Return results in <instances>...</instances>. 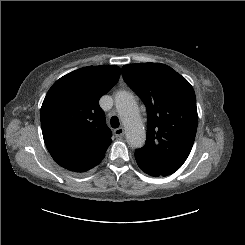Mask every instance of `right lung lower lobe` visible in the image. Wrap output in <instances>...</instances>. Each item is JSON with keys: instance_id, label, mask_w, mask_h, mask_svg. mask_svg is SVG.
Returning <instances> with one entry per match:
<instances>
[{"instance_id": "right-lung-lower-lobe-1", "label": "right lung lower lobe", "mask_w": 245, "mask_h": 245, "mask_svg": "<svg viewBox=\"0 0 245 245\" xmlns=\"http://www.w3.org/2000/svg\"><path fill=\"white\" fill-rule=\"evenodd\" d=\"M103 157H104V156H103ZM103 157H102V158H101V159H100L94 166H96L98 163H100L101 160L103 159ZM94 166H93V167H94ZM93 167H92V168H93ZM90 169H91V168H90Z\"/></svg>"}]
</instances>
